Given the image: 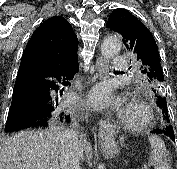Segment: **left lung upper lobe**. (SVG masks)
<instances>
[{"mask_svg": "<svg viewBox=\"0 0 177 169\" xmlns=\"http://www.w3.org/2000/svg\"><path fill=\"white\" fill-rule=\"evenodd\" d=\"M106 27L122 35V41L127 50L141 63L140 72L149 88L159 94L164 82L158 47L151 32L134 15L125 9H115L109 16ZM157 96V95H156ZM162 98V97H161ZM163 108L166 122L163 128L170 126L166 99L159 105Z\"/></svg>", "mask_w": 177, "mask_h": 169, "instance_id": "5c2ea615", "label": "left lung upper lobe"}]
</instances>
